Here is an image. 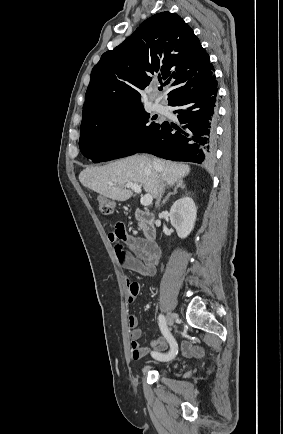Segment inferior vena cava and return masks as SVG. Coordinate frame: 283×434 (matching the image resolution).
<instances>
[{"mask_svg":"<svg viewBox=\"0 0 283 434\" xmlns=\"http://www.w3.org/2000/svg\"><path fill=\"white\" fill-rule=\"evenodd\" d=\"M153 163H154V165H157L156 161H153ZM163 193H164V182L162 181L160 188H159V196H158L157 201H156V206L159 205Z\"/></svg>","mask_w":283,"mask_h":434,"instance_id":"inferior-vena-cava-1","label":"inferior vena cava"}]
</instances>
